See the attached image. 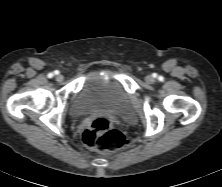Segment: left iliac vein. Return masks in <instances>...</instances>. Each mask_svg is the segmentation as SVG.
<instances>
[{
	"instance_id": "obj_1",
	"label": "left iliac vein",
	"mask_w": 222,
	"mask_h": 187,
	"mask_svg": "<svg viewBox=\"0 0 222 187\" xmlns=\"http://www.w3.org/2000/svg\"><path fill=\"white\" fill-rule=\"evenodd\" d=\"M145 81H146L147 83H153V82H154V78H153V76H151V75H147V76L145 77Z\"/></svg>"
}]
</instances>
